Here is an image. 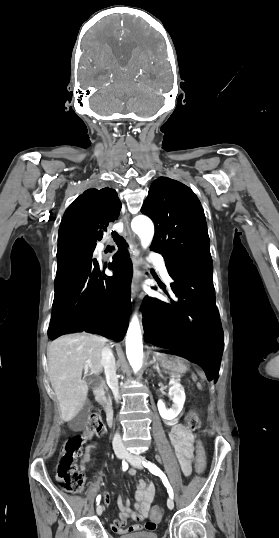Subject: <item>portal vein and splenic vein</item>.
Instances as JSON below:
<instances>
[{
	"label": "portal vein and splenic vein",
	"instance_id": "portal-vein-and-splenic-vein-1",
	"mask_svg": "<svg viewBox=\"0 0 279 538\" xmlns=\"http://www.w3.org/2000/svg\"><path fill=\"white\" fill-rule=\"evenodd\" d=\"M169 383H176V380H173V377H168Z\"/></svg>",
	"mask_w": 279,
	"mask_h": 538
}]
</instances>
